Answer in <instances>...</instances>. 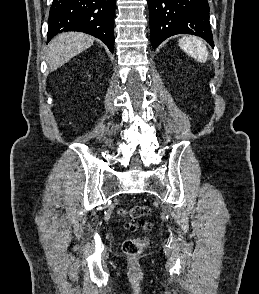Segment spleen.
Wrapping results in <instances>:
<instances>
[{
  "instance_id": "spleen-1",
  "label": "spleen",
  "mask_w": 259,
  "mask_h": 294,
  "mask_svg": "<svg viewBox=\"0 0 259 294\" xmlns=\"http://www.w3.org/2000/svg\"><path fill=\"white\" fill-rule=\"evenodd\" d=\"M180 48L201 63L208 59V51L204 43L196 37H183L179 40Z\"/></svg>"
}]
</instances>
